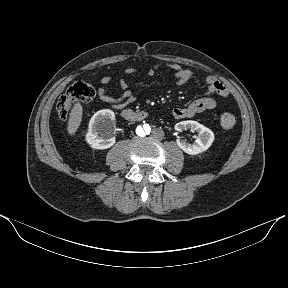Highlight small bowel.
Listing matches in <instances>:
<instances>
[{
	"instance_id": "1",
	"label": "small bowel",
	"mask_w": 288,
	"mask_h": 288,
	"mask_svg": "<svg viewBox=\"0 0 288 288\" xmlns=\"http://www.w3.org/2000/svg\"><path fill=\"white\" fill-rule=\"evenodd\" d=\"M165 66L168 68L174 76L176 85L182 86L187 84L192 78V72L189 69L183 68L179 64L164 62L153 66L145 71L147 76H153L155 72L159 69L160 66ZM139 72L135 68H128L125 70L126 74H134ZM112 81L111 77L104 76L101 78V83L103 85L110 84ZM207 89L205 95L189 105L181 108H174L170 112V116L175 119H186L193 118L196 115L214 109L217 105V102L214 96L225 100L228 96L227 88L214 76H209L206 79ZM119 86L122 90V93L118 96L113 95L104 87L98 88V97L101 101L111 105L114 108L121 109L126 105L133 103L136 100V96L132 90H130L128 83L124 79H120Z\"/></svg>"
}]
</instances>
